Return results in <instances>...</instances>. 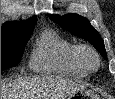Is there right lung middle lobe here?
I'll use <instances>...</instances> for the list:
<instances>
[{"label":"right lung middle lobe","instance_id":"dd1d6c3e","mask_svg":"<svg viewBox=\"0 0 115 99\" xmlns=\"http://www.w3.org/2000/svg\"><path fill=\"white\" fill-rule=\"evenodd\" d=\"M31 34L1 37V71L14 67L20 62Z\"/></svg>","mask_w":115,"mask_h":99}]
</instances>
